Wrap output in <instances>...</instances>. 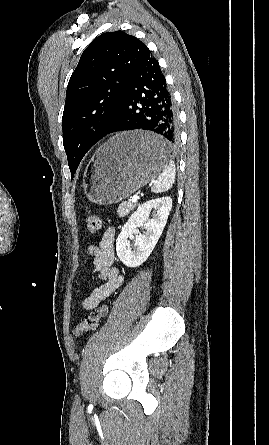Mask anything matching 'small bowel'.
I'll return each mask as SVG.
<instances>
[{
  "mask_svg": "<svg viewBox=\"0 0 269 445\" xmlns=\"http://www.w3.org/2000/svg\"><path fill=\"white\" fill-rule=\"evenodd\" d=\"M115 231L108 228L98 245H91L86 253L93 259L95 279L101 284L94 288L82 302L85 310L95 309L103 300L112 295L123 283V276L114 267Z\"/></svg>",
  "mask_w": 269,
  "mask_h": 445,
  "instance_id": "small-bowel-1",
  "label": "small bowel"
}]
</instances>
